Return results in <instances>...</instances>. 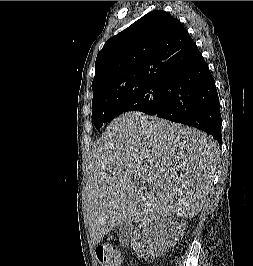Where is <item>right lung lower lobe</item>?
Returning <instances> with one entry per match:
<instances>
[{"label": "right lung lower lobe", "mask_w": 253, "mask_h": 266, "mask_svg": "<svg viewBox=\"0 0 253 266\" xmlns=\"http://www.w3.org/2000/svg\"><path fill=\"white\" fill-rule=\"evenodd\" d=\"M163 102L149 113L201 129L222 143L221 114L215 81L200 53L164 80Z\"/></svg>", "instance_id": "obj_1"}]
</instances>
